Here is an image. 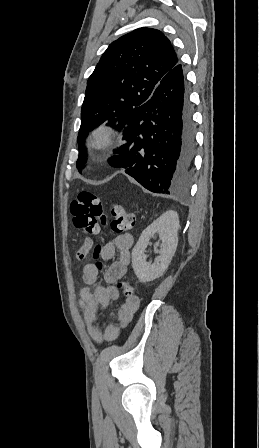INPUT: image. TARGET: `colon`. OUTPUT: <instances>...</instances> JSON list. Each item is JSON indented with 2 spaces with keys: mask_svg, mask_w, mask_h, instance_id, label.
<instances>
[{
  "mask_svg": "<svg viewBox=\"0 0 259 448\" xmlns=\"http://www.w3.org/2000/svg\"><path fill=\"white\" fill-rule=\"evenodd\" d=\"M73 216V223L79 229L86 240L78 250V257L83 259L89 252L93 239L98 238L101 234V226L109 225L115 233H121L130 230L135 225V216L126 210L122 205L114 204L111 206L109 213L104 210L100 198L90 191H81L72 201L70 206ZM101 245H96L93 251V257L98 259L101 252ZM97 268H102V262L97 260ZM117 287L122 292V297L126 302L131 301L135 297V287L132 283L122 281Z\"/></svg>",
  "mask_w": 259,
  "mask_h": 448,
  "instance_id": "1",
  "label": "colon"
}]
</instances>
